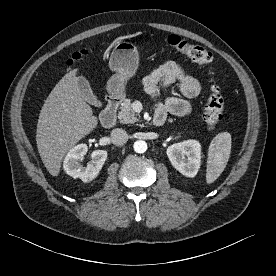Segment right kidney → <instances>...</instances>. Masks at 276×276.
<instances>
[{
    "label": "right kidney",
    "mask_w": 276,
    "mask_h": 276,
    "mask_svg": "<svg viewBox=\"0 0 276 276\" xmlns=\"http://www.w3.org/2000/svg\"><path fill=\"white\" fill-rule=\"evenodd\" d=\"M87 151L86 144H79L70 149L63 163L64 171L68 175L73 178H80L84 183L91 182L97 177L108 156L106 150H95L91 154L92 163L83 167L80 161L83 160Z\"/></svg>",
    "instance_id": "right-kidney-1"
}]
</instances>
